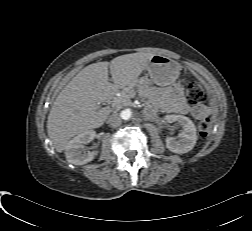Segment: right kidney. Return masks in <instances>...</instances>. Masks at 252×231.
Instances as JSON below:
<instances>
[{
	"mask_svg": "<svg viewBox=\"0 0 252 231\" xmlns=\"http://www.w3.org/2000/svg\"><path fill=\"white\" fill-rule=\"evenodd\" d=\"M95 131H85L68 142L65 147V156L69 163L74 165H83L91 162L97 155L98 151H86L85 144L95 138Z\"/></svg>",
	"mask_w": 252,
	"mask_h": 231,
	"instance_id": "ca27d5eb",
	"label": "right kidney"
}]
</instances>
